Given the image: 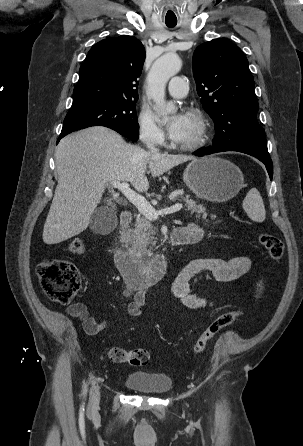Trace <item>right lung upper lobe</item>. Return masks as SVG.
<instances>
[{
	"label": "right lung upper lobe",
	"mask_w": 303,
	"mask_h": 446,
	"mask_svg": "<svg viewBox=\"0 0 303 446\" xmlns=\"http://www.w3.org/2000/svg\"><path fill=\"white\" fill-rule=\"evenodd\" d=\"M144 60V46L133 36L109 37L98 42L80 67L71 108L108 101H137V79Z\"/></svg>",
	"instance_id": "right-lung-upper-lobe-1"
}]
</instances>
